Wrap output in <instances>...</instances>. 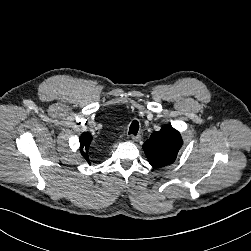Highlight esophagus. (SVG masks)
<instances>
[{
    "label": "esophagus",
    "mask_w": 251,
    "mask_h": 251,
    "mask_svg": "<svg viewBox=\"0 0 251 251\" xmlns=\"http://www.w3.org/2000/svg\"><path fill=\"white\" fill-rule=\"evenodd\" d=\"M132 140H133L134 142L139 141V140H140V135H132Z\"/></svg>",
    "instance_id": "1"
}]
</instances>
